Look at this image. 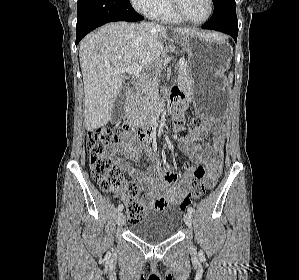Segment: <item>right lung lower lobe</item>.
<instances>
[{"mask_svg":"<svg viewBox=\"0 0 299 280\" xmlns=\"http://www.w3.org/2000/svg\"><path fill=\"white\" fill-rule=\"evenodd\" d=\"M77 5L76 45L90 31L108 22L144 19L129 0H78Z\"/></svg>","mask_w":299,"mask_h":280,"instance_id":"obj_1","label":"right lung lower lobe"}]
</instances>
